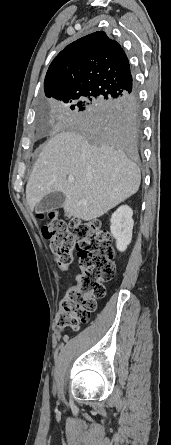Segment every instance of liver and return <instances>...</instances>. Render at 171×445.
<instances>
[{"label": "liver", "instance_id": "6515ba94", "mask_svg": "<svg viewBox=\"0 0 171 445\" xmlns=\"http://www.w3.org/2000/svg\"><path fill=\"white\" fill-rule=\"evenodd\" d=\"M74 181L69 182L68 178ZM139 167L107 143L91 144L74 131H62L44 146L26 186L31 209L47 194L65 195L64 211L84 221L117 206L140 186Z\"/></svg>", "mask_w": 171, "mask_h": 445}]
</instances>
